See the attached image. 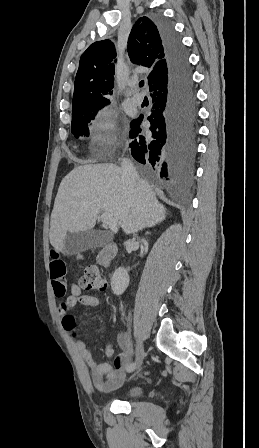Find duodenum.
<instances>
[{
  "label": "duodenum",
  "mask_w": 259,
  "mask_h": 448,
  "mask_svg": "<svg viewBox=\"0 0 259 448\" xmlns=\"http://www.w3.org/2000/svg\"><path fill=\"white\" fill-rule=\"evenodd\" d=\"M117 253V247L114 244H108L103 247L97 256V262L102 267H109Z\"/></svg>",
  "instance_id": "duodenum-1"
}]
</instances>
